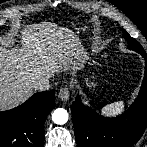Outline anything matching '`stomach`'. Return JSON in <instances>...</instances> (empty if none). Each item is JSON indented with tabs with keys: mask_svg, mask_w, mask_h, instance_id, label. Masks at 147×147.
Masks as SVG:
<instances>
[{
	"mask_svg": "<svg viewBox=\"0 0 147 147\" xmlns=\"http://www.w3.org/2000/svg\"><path fill=\"white\" fill-rule=\"evenodd\" d=\"M89 64H96V62H95L94 60H92V61L90 60ZM86 84H87V86H90V85H89L90 83L88 84V83L86 82ZM91 85H93V84L91 83Z\"/></svg>",
	"mask_w": 147,
	"mask_h": 147,
	"instance_id": "1",
	"label": "stomach"
}]
</instances>
